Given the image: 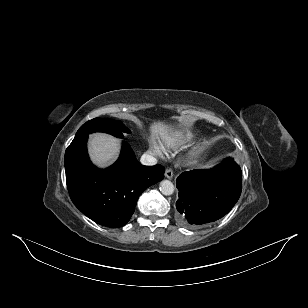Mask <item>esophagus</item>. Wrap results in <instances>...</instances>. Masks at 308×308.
I'll return each instance as SVG.
<instances>
[{"label":"esophagus","instance_id":"obj_1","mask_svg":"<svg viewBox=\"0 0 308 308\" xmlns=\"http://www.w3.org/2000/svg\"><path fill=\"white\" fill-rule=\"evenodd\" d=\"M165 177L171 179L173 177V170L171 168H167L165 170Z\"/></svg>","mask_w":308,"mask_h":308}]
</instances>
